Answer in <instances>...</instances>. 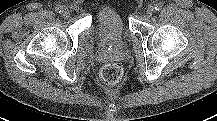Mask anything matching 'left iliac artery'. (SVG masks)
I'll use <instances>...</instances> for the list:
<instances>
[{
    "mask_svg": "<svg viewBox=\"0 0 217 121\" xmlns=\"http://www.w3.org/2000/svg\"><path fill=\"white\" fill-rule=\"evenodd\" d=\"M154 9L156 11H160L162 9V4L161 3H156Z\"/></svg>",
    "mask_w": 217,
    "mask_h": 121,
    "instance_id": "1",
    "label": "left iliac artery"
}]
</instances>
